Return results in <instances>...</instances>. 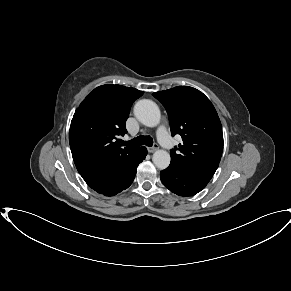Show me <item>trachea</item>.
Segmentation results:
<instances>
[{
    "instance_id": "trachea-1",
    "label": "trachea",
    "mask_w": 291,
    "mask_h": 291,
    "mask_svg": "<svg viewBox=\"0 0 291 291\" xmlns=\"http://www.w3.org/2000/svg\"><path fill=\"white\" fill-rule=\"evenodd\" d=\"M122 145L128 147H136L141 145H146L151 147L153 145V139L150 136L140 135L130 141H122Z\"/></svg>"
}]
</instances>
